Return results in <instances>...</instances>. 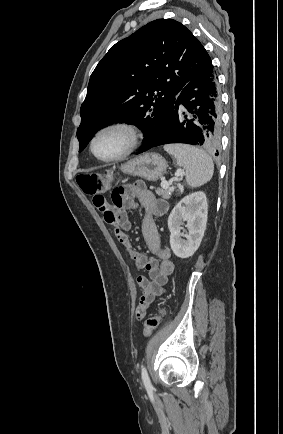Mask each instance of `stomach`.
Instances as JSON below:
<instances>
[{
  "instance_id": "obj_1",
  "label": "stomach",
  "mask_w": 283,
  "mask_h": 434,
  "mask_svg": "<svg viewBox=\"0 0 283 434\" xmlns=\"http://www.w3.org/2000/svg\"><path fill=\"white\" fill-rule=\"evenodd\" d=\"M120 169L125 174L157 181L166 172L167 162L157 153H146L121 165Z\"/></svg>"
}]
</instances>
